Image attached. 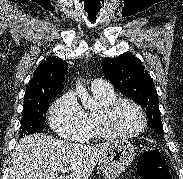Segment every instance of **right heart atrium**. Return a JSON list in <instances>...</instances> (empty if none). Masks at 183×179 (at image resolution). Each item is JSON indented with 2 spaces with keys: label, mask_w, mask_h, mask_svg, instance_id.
<instances>
[{
  "label": "right heart atrium",
  "mask_w": 183,
  "mask_h": 179,
  "mask_svg": "<svg viewBox=\"0 0 183 179\" xmlns=\"http://www.w3.org/2000/svg\"><path fill=\"white\" fill-rule=\"evenodd\" d=\"M50 123L63 139L82 141L89 134L86 113L71 92L63 94L51 107Z\"/></svg>",
  "instance_id": "1"
}]
</instances>
